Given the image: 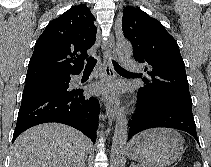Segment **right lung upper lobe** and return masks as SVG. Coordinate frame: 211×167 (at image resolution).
<instances>
[{
	"mask_svg": "<svg viewBox=\"0 0 211 167\" xmlns=\"http://www.w3.org/2000/svg\"><path fill=\"white\" fill-rule=\"evenodd\" d=\"M93 20L86 5L73 6L52 20L35 44L26 81L81 72L86 51L96 40Z\"/></svg>",
	"mask_w": 211,
	"mask_h": 167,
	"instance_id": "obj_1",
	"label": "right lung upper lobe"
}]
</instances>
